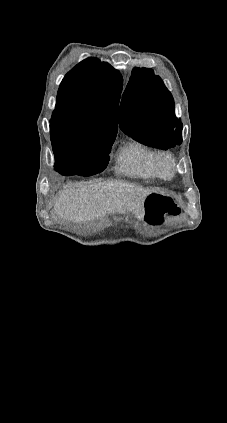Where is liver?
Returning a JSON list of instances; mask_svg holds the SVG:
<instances>
[{
    "instance_id": "liver-1",
    "label": "liver",
    "mask_w": 227,
    "mask_h": 423,
    "mask_svg": "<svg viewBox=\"0 0 227 423\" xmlns=\"http://www.w3.org/2000/svg\"><path fill=\"white\" fill-rule=\"evenodd\" d=\"M138 184L103 182V184H73L62 190L54 206L56 215L75 223L103 219L109 213L133 211L142 215L144 202L149 196Z\"/></svg>"
}]
</instances>
